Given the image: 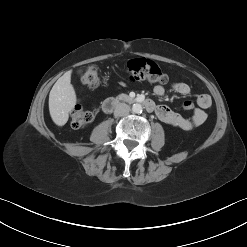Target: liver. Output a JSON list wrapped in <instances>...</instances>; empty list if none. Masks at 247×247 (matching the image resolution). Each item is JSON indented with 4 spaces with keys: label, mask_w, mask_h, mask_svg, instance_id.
Instances as JSON below:
<instances>
[{
    "label": "liver",
    "mask_w": 247,
    "mask_h": 247,
    "mask_svg": "<svg viewBox=\"0 0 247 247\" xmlns=\"http://www.w3.org/2000/svg\"><path fill=\"white\" fill-rule=\"evenodd\" d=\"M76 100V93L71 84V71H67L56 81L49 94V112L56 125L63 126L67 123Z\"/></svg>",
    "instance_id": "obj_1"
}]
</instances>
